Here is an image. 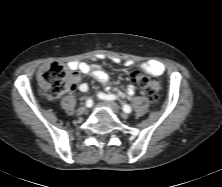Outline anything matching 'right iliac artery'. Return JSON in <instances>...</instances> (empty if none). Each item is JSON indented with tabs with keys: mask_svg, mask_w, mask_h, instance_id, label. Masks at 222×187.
<instances>
[{
	"mask_svg": "<svg viewBox=\"0 0 222 187\" xmlns=\"http://www.w3.org/2000/svg\"><path fill=\"white\" fill-rule=\"evenodd\" d=\"M93 105V101L91 100V99H88L87 101H86V106L87 107H91Z\"/></svg>",
	"mask_w": 222,
	"mask_h": 187,
	"instance_id": "82829eb1",
	"label": "right iliac artery"
}]
</instances>
